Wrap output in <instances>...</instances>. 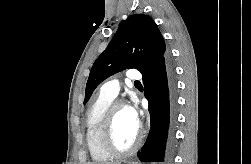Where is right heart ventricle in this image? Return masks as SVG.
<instances>
[{"label":"right heart ventricle","mask_w":251,"mask_h":164,"mask_svg":"<svg viewBox=\"0 0 251 164\" xmlns=\"http://www.w3.org/2000/svg\"><path fill=\"white\" fill-rule=\"evenodd\" d=\"M113 98L100 94L90 105L85 118V136L89 154L94 161L109 160L112 155L102 144V127L105 114Z\"/></svg>","instance_id":"1"}]
</instances>
